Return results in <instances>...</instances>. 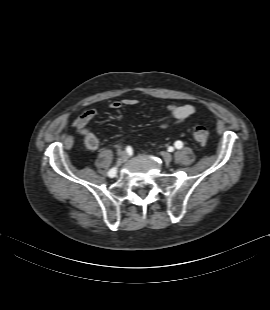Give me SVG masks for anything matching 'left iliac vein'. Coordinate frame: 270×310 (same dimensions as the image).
<instances>
[{"label": "left iliac vein", "mask_w": 270, "mask_h": 310, "mask_svg": "<svg viewBox=\"0 0 270 310\" xmlns=\"http://www.w3.org/2000/svg\"><path fill=\"white\" fill-rule=\"evenodd\" d=\"M162 157L166 163H170L172 160V155L169 152H163Z\"/></svg>", "instance_id": "left-iliac-vein-1"}]
</instances>
